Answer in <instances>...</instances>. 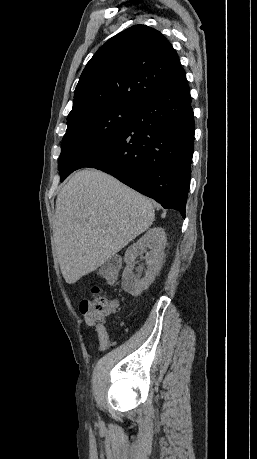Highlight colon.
Segmentation results:
<instances>
[{
    "mask_svg": "<svg viewBox=\"0 0 257 459\" xmlns=\"http://www.w3.org/2000/svg\"><path fill=\"white\" fill-rule=\"evenodd\" d=\"M121 269V261L117 258H112L104 263L99 269V275L107 280H114ZM94 297L85 299L80 303V311L83 314H91L97 320H103L112 313L113 300L100 295V289L97 286L93 287Z\"/></svg>",
    "mask_w": 257,
    "mask_h": 459,
    "instance_id": "1",
    "label": "colon"
}]
</instances>
